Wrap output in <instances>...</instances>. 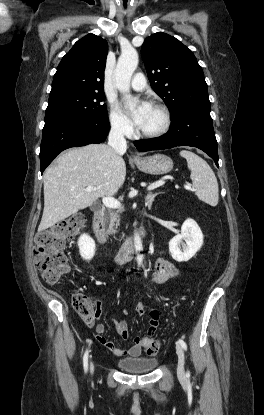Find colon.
<instances>
[{"label":"colon","mask_w":264,"mask_h":415,"mask_svg":"<svg viewBox=\"0 0 264 415\" xmlns=\"http://www.w3.org/2000/svg\"><path fill=\"white\" fill-rule=\"evenodd\" d=\"M84 218L74 214L55 226L39 231L35 238V263L42 273L43 279L49 284L58 282L69 270L63 248L72 240L83 227ZM72 305L82 320L91 324L98 319L100 310L92 297L86 293H76L72 297ZM142 341L148 355H156L161 350L158 340L143 337Z\"/></svg>","instance_id":"obj_1"}]
</instances>
